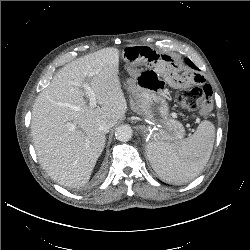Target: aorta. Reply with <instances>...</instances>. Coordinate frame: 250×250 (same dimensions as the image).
I'll list each match as a JSON object with an SVG mask.
<instances>
[{
    "label": "aorta",
    "mask_w": 250,
    "mask_h": 250,
    "mask_svg": "<svg viewBox=\"0 0 250 250\" xmlns=\"http://www.w3.org/2000/svg\"><path fill=\"white\" fill-rule=\"evenodd\" d=\"M132 135L133 131L129 125H120L115 132L116 139L121 142H128Z\"/></svg>",
    "instance_id": "aorta-1"
}]
</instances>
